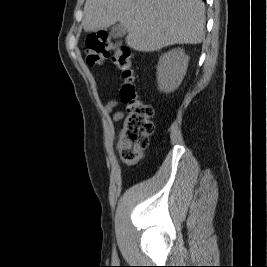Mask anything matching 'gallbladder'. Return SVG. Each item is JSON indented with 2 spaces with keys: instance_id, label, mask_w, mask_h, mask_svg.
Returning <instances> with one entry per match:
<instances>
[{
  "instance_id": "obj_1",
  "label": "gallbladder",
  "mask_w": 267,
  "mask_h": 267,
  "mask_svg": "<svg viewBox=\"0 0 267 267\" xmlns=\"http://www.w3.org/2000/svg\"><path fill=\"white\" fill-rule=\"evenodd\" d=\"M127 33V29L122 24H116L110 29V36L112 38H121L124 37Z\"/></svg>"
}]
</instances>
